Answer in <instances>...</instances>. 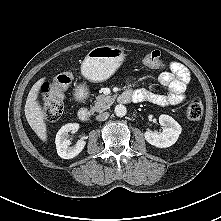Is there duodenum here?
Segmentation results:
<instances>
[{
  "mask_svg": "<svg viewBox=\"0 0 221 221\" xmlns=\"http://www.w3.org/2000/svg\"><path fill=\"white\" fill-rule=\"evenodd\" d=\"M131 101V96L127 92L121 93L118 96V102L126 104ZM78 117L82 122H89L91 118V111L86 107H82L78 110Z\"/></svg>",
  "mask_w": 221,
  "mask_h": 221,
  "instance_id": "1",
  "label": "duodenum"
}]
</instances>
